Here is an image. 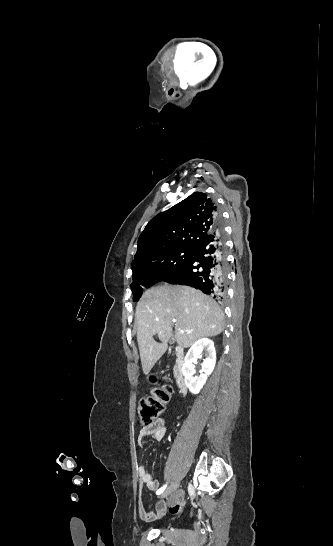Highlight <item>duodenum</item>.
Returning a JSON list of instances; mask_svg holds the SVG:
<instances>
[{"label":"duodenum","instance_id":"duodenum-1","mask_svg":"<svg viewBox=\"0 0 333 546\" xmlns=\"http://www.w3.org/2000/svg\"><path fill=\"white\" fill-rule=\"evenodd\" d=\"M175 365H174V378L179 392L184 394L187 391L185 382V376L183 372V366L185 362V353L182 347H176L174 350Z\"/></svg>","mask_w":333,"mask_h":546}]
</instances>
